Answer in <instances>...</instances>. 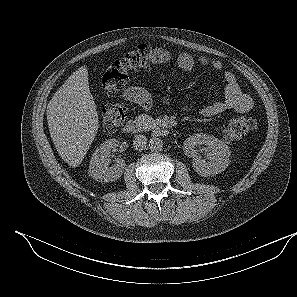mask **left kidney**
Masks as SVG:
<instances>
[{
    "label": "left kidney",
    "instance_id": "1",
    "mask_svg": "<svg viewBox=\"0 0 297 297\" xmlns=\"http://www.w3.org/2000/svg\"><path fill=\"white\" fill-rule=\"evenodd\" d=\"M205 145L206 159L195 150V146ZM185 155L193 159L192 167L201 176H214L224 171L229 163L230 149L221 140L202 133L188 137L183 145Z\"/></svg>",
    "mask_w": 297,
    "mask_h": 297
}]
</instances>
